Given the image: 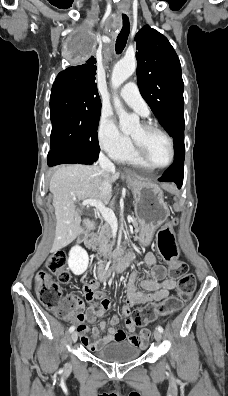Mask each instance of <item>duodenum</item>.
<instances>
[{
  "instance_id": "duodenum-1",
  "label": "duodenum",
  "mask_w": 228,
  "mask_h": 396,
  "mask_svg": "<svg viewBox=\"0 0 228 396\" xmlns=\"http://www.w3.org/2000/svg\"><path fill=\"white\" fill-rule=\"evenodd\" d=\"M84 243H85V245H86L88 248H90V249L96 251L97 253H99L98 246H97V242H96V237H95V234H94V233L88 234V235L85 237V239H84ZM109 253H110L114 258H116L117 254H118V252H116V251L109 252ZM103 256H104V254H103ZM103 256L100 255V256H99V259H98V273L101 274V275H104V276L108 277V275L111 273V271H106V270L104 269V262H105V259H104ZM129 263H130V259H129L128 257L121 258V259L118 260L117 263L115 264L114 268L112 269V272L120 273V272L124 271V270L128 267Z\"/></svg>"
}]
</instances>
